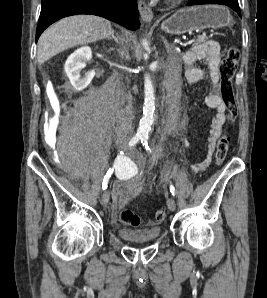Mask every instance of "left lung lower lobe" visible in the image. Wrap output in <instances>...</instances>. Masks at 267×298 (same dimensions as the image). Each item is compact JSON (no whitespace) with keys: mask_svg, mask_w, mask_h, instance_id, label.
<instances>
[{"mask_svg":"<svg viewBox=\"0 0 267 298\" xmlns=\"http://www.w3.org/2000/svg\"><path fill=\"white\" fill-rule=\"evenodd\" d=\"M221 4L231 7L241 16L238 0H189L188 5Z\"/></svg>","mask_w":267,"mask_h":298,"instance_id":"obj_1","label":"left lung lower lobe"}]
</instances>
